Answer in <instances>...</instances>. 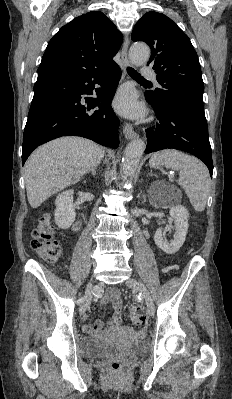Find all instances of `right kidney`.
Listing matches in <instances>:
<instances>
[{
    "label": "right kidney",
    "instance_id": "obj_1",
    "mask_svg": "<svg viewBox=\"0 0 232 399\" xmlns=\"http://www.w3.org/2000/svg\"><path fill=\"white\" fill-rule=\"evenodd\" d=\"M73 194V190H67V192L58 194L55 200V223H57L58 227H62V229H68L75 219Z\"/></svg>",
    "mask_w": 232,
    "mask_h": 399
}]
</instances>
